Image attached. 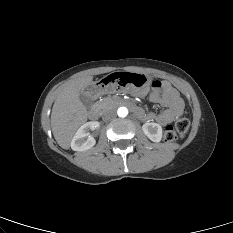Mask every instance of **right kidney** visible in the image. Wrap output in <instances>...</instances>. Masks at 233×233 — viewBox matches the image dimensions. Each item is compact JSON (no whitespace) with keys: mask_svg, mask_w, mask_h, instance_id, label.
Masks as SVG:
<instances>
[{"mask_svg":"<svg viewBox=\"0 0 233 233\" xmlns=\"http://www.w3.org/2000/svg\"><path fill=\"white\" fill-rule=\"evenodd\" d=\"M99 127L98 122H87L82 125L75 133L72 141L71 148L74 151H85L92 148L96 140L93 136L89 135V131H93Z\"/></svg>","mask_w":233,"mask_h":233,"instance_id":"obj_1","label":"right kidney"}]
</instances>
